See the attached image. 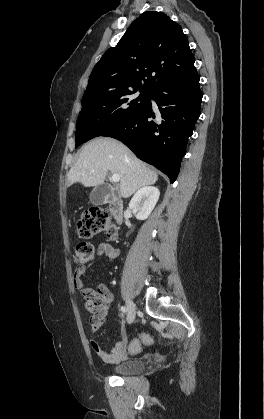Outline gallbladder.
Listing matches in <instances>:
<instances>
[{
  "label": "gallbladder",
  "mask_w": 264,
  "mask_h": 419,
  "mask_svg": "<svg viewBox=\"0 0 264 419\" xmlns=\"http://www.w3.org/2000/svg\"><path fill=\"white\" fill-rule=\"evenodd\" d=\"M109 187L105 184L95 187L90 193V202L94 205H102L107 200Z\"/></svg>",
  "instance_id": "bac80fb5"
}]
</instances>
